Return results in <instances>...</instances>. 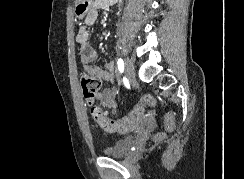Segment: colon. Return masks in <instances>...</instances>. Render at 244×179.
Here are the masks:
<instances>
[{
  "label": "colon",
  "instance_id": "5ec220e1",
  "mask_svg": "<svg viewBox=\"0 0 244 179\" xmlns=\"http://www.w3.org/2000/svg\"><path fill=\"white\" fill-rule=\"evenodd\" d=\"M80 86L85 99L89 102L94 101L97 93L101 87V80L98 76L94 74H82L80 78ZM143 103L137 102L135 108H128L129 115L122 120H110L101 106H90V112L92 119L96 122L103 131L106 132H127L134 128L136 120H140L141 110H146V106L149 109H156L157 101H155L154 95H143ZM177 116V111L172 110L166 113L164 120V125H166V130L169 133H176L175 120Z\"/></svg>",
  "mask_w": 244,
  "mask_h": 179
}]
</instances>
